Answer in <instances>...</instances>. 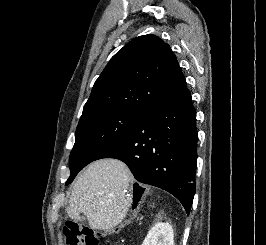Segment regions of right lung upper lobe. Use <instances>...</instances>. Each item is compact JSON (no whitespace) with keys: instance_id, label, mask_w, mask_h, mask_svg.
<instances>
[{"instance_id":"cb5924a9","label":"right lung upper lobe","mask_w":266,"mask_h":245,"mask_svg":"<svg viewBox=\"0 0 266 245\" xmlns=\"http://www.w3.org/2000/svg\"><path fill=\"white\" fill-rule=\"evenodd\" d=\"M186 85L170 46L156 35L131 40L96 80L81 117L117 109L146 113Z\"/></svg>"}]
</instances>
